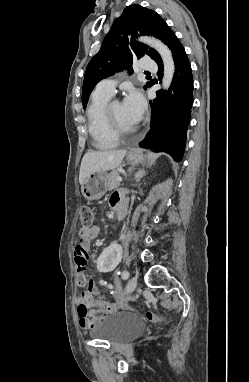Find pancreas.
<instances>
[{"instance_id": "cf45deb5", "label": "pancreas", "mask_w": 249, "mask_h": 382, "mask_svg": "<svg viewBox=\"0 0 249 382\" xmlns=\"http://www.w3.org/2000/svg\"><path fill=\"white\" fill-rule=\"evenodd\" d=\"M118 176L119 172L117 170L111 171L107 176L105 185L109 190H113L119 185V181H117Z\"/></svg>"}]
</instances>
